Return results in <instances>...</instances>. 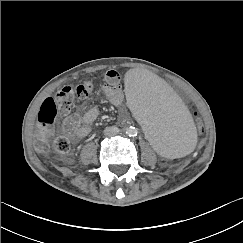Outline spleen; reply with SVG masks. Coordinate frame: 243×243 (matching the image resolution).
<instances>
[{"instance_id":"1","label":"spleen","mask_w":243,"mask_h":243,"mask_svg":"<svg viewBox=\"0 0 243 243\" xmlns=\"http://www.w3.org/2000/svg\"><path fill=\"white\" fill-rule=\"evenodd\" d=\"M124 95L149 144L169 159L184 157L195 142L194 127L177 93L155 72L140 70L126 80Z\"/></svg>"}]
</instances>
